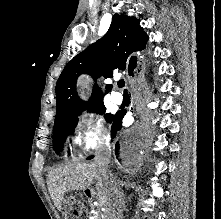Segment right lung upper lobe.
<instances>
[{
	"mask_svg": "<svg viewBox=\"0 0 221 219\" xmlns=\"http://www.w3.org/2000/svg\"><path fill=\"white\" fill-rule=\"evenodd\" d=\"M148 41L147 34L135 17L114 14L108 32L96 43L76 55L64 68L56 84V119L72 110L102 101L101 89L95 85L88 102L82 101L76 92L77 78L89 74L94 80L103 75L112 77L114 68L129 73L139 71L140 63L135 54L142 51ZM106 86V93L111 90Z\"/></svg>",
	"mask_w": 221,
	"mask_h": 219,
	"instance_id": "right-lung-upper-lobe-1",
	"label": "right lung upper lobe"
}]
</instances>
